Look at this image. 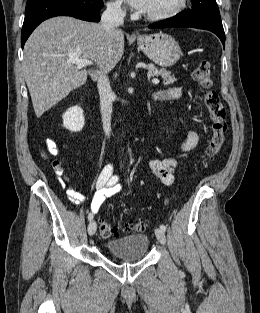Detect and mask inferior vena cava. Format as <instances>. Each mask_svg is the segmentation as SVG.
Here are the masks:
<instances>
[{"label": "inferior vena cava", "instance_id": "obj_1", "mask_svg": "<svg viewBox=\"0 0 260 313\" xmlns=\"http://www.w3.org/2000/svg\"><path fill=\"white\" fill-rule=\"evenodd\" d=\"M126 13L118 3H107V8L101 17V27L105 34L112 35L118 26L124 22ZM97 87L100 95V107L102 115L103 130L106 136L111 132V114L114 100V93L111 89L106 73H101L97 77Z\"/></svg>", "mask_w": 260, "mask_h": 313}]
</instances>
